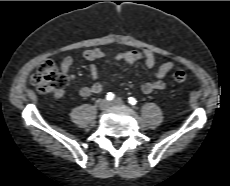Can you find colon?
I'll return each instance as SVG.
<instances>
[{"mask_svg": "<svg viewBox=\"0 0 230 186\" xmlns=\"http://www.w3.org/2000/svg\"><path fill=\"white\" fill-rule=\"evenodd\" d=\"M172 79L182 83L187 81L188 74L183 70L172 73ZM31 83L42 93L60 94L67 85V78L62 74L57 65L47 60L41 63L31 76Z\"/></svg>", "mask_w": 230, "mask_h": 186, "instance_id": "1", "label": "colon"}]
</instances>
